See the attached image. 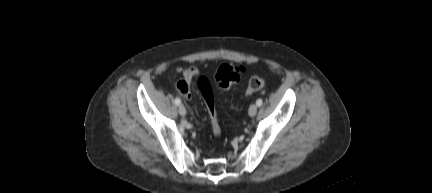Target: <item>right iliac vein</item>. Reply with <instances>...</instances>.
Listing matches in <instances>:
<instances>
[{
  "label": "right iliac vein",
  "mask_w": 432,
  "mask_h": 193,
  "mask_svg": "<svg viewBox=\"0 0 432 193\" xmlns=\"http://www.w3.org/2000/svg\"><path fill=\"white\" fill-rule=\"evenodd\" d=\"M178 112L180 115L184 116L186 114V108L184 105H180L178 108Z\"/></svg>",
  "instance_id": "1"
}]
</instances>
